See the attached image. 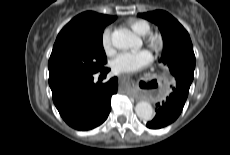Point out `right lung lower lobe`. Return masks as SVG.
<instances>
[{
	"label": "right lung lower lobe",
	"mask_w": 230,
	"mask_h": 155,
	"mask_svg": "<svg viewBox=\"0 0 230 155\" xmlns=\"http://www.w3.org/2000/svg\"><path fill=\"white\" fill-rule=\"evenodd\" d=\"M107 73L108 68L100 70ZM97 72H72L49 76L53 102L61 117L77 130L101 125L111 110V97L117 93V78L94 83Z\"/></svg>",
	"instance_id": "right-lung-lower-lobe-1"
}]
</instances>
